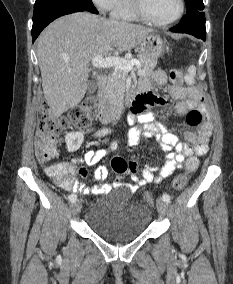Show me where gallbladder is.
Listing matches in <instances>:
<instances>
[{
  "label": "gallbladder",
  "instance_id": "gallbladder-1",
  "mask_svg": "<svg viewBox=\"0 0 233 284\" xmlns=\"http://www.w3.org/2000/svg\"><path fill=\"white\" fill-rule=\"evenodd\" d=\"M97 90V81L94 76H92L87 83V92L94 93Z\"/></svg>",
  "mask_w": 233,
  "mask_h": 284
}]
</instances>
